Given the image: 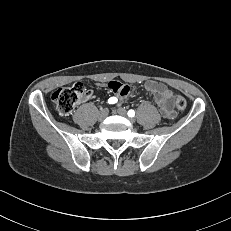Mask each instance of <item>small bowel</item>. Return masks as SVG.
<instances>
[{
  "label": "small bowel",
  "instance_id": "small-bowel-1",
  "mask_svg": "<svg viewBox=\"0 0 231 231\" xmlns=\"http://www.w3.org/2000/svg\"><path fill=\"white\" fill-rule=\"evenodd\" d=\"M109 87L118 95L124 96L128 93L129 87L120 83H110ZM145 88L154 96L161 115L166 119H174L176 112L172 108L171 100L173 93L163 84L156 81H148Z\"/></svg>",
  "mask_w": 231,
  "mask_h": 231
}]
</instances>
